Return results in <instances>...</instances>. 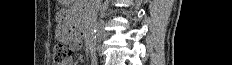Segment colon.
<instances>
[{
    "label": "colon",
    "instance_id": "colon-1",
    "mask_svg": "<svg viewBox=\"0 0 232 65\" xmlns=\"http://www.w3.org/2000/svg\"><path fill=\"white\" fill-rule=\"evenodd\" d=\"M70 50L65 45L58 44L54 48V60L58 65H62L69 59Z\"/></svg>",
    "mask_w": 232,
    "mask_h": 65
}]
</instances>
